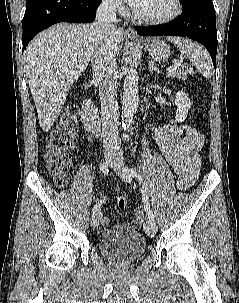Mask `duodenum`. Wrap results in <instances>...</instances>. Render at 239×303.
Listing matches in <instances>:
<instances>
[{
    "label": "duodenum",
    "mask_w": 239,
    "mask_h": 303,
    "mask_svg": "<svg viewBox=\"0 0 239 303\" xmlns=\"http://www.w3.org/2000/svg\"><path fill=\"white\" fill-rule=\"evenodd\" d=\"M91 85V81H88L85 84V89H89ZM81 117L83 125L87 131L96 136L100 134L101 120L91 99L88 97H85L82 101Z\"/></svg>",
    "instance_id": "410a0bca"
}]
</instances>
